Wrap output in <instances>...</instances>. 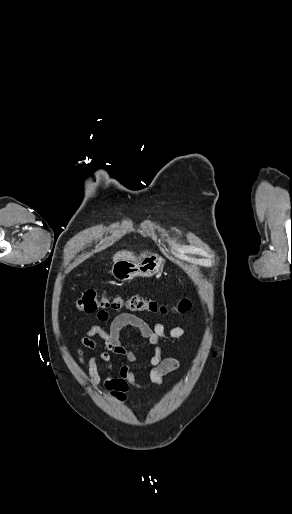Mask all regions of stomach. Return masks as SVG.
Listing matches in <instances>:
<instances>
[{
    "label": "stomach",
    "mask_w": 292,
    "mask_h": 514,
    "mask_svg": "<svg viewBox=\"0 0 292 514\" xmlns=\"http://www.w3.org/2000/svg\"><path fill=\"white\" fill-rule=\"evenodd\" d=\"M163 264V258L157 254H147L139 262H131V260L114 262L111 274L119 282H127L133 278H151L162 270Z\"/></svg>",
    "instance_id": "0dacf381"
}]
</instances>
